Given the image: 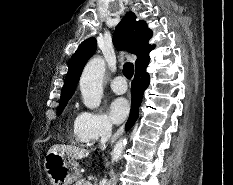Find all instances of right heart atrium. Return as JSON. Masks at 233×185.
Returning <instances> with one entry per match:
<instances>
[{"instance_id": "obj_1", "label": "right heart atrium", "mask_w": 233, "mask_h": 185, "mask_svg": "<svg viewBox=\"0 0 233 185\" xmlns=\"http://www.w3.org/2000/svg\"><path fill=\"white\" fill-rule=\"evenodd\" d=\"M75 132L79 141L90 144L107 137L111 132V125L104 115L85 110L77 117Z\"/></svg>"}]
</instances>
